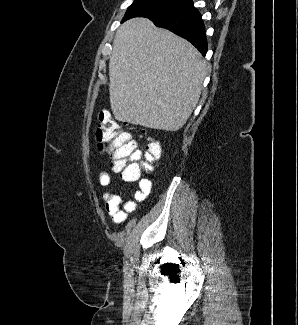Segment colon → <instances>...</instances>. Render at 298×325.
I'll return each instance as SVG.
<instances>
[{
    "mask_svg": "<svg viewBox=\"0 0 298 325\" xmlns=\"http://www.w3.org/2000/svg\"><path fill=\"white\" fill-rule=\"evenodd\" d=\"M96 140L99 149L112 160L113 167L121 172L124 179L133 181L143 173L157 168L161 156L160 148L152 143L148 147V156L144 157L137 149L131 134L124 131L111 112H101L96 127Z\"/></svg>",
    "mask_w": 298,
    "mask_h": 325,
    "instance_id": "5ec220e1",
    "label": "colon"
}]
</instances>
